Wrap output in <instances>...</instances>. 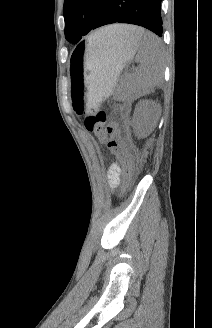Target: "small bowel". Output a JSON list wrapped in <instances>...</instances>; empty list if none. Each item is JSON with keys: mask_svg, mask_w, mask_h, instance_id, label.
Here are the masks:
<instances>
[{"mask_svg": "<svg viewBox=\"0 0 212 328\" xmlns=\"http://www.w3.org/2000/svg\"><path fill=\"white\" fill-rule=\"evenodd\" d=\"M122 174V168L118 163H114L110 166L107 179L109 186L114 189L120 184Z\"/></svg>", "mask_w": 212, "mask_h": 328, "instance_id": "1", "label": "small bowel"}]
</instances>
